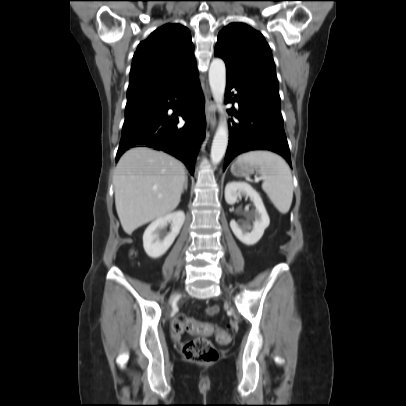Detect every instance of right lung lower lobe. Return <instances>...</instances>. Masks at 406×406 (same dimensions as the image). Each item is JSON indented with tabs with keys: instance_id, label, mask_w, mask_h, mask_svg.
Instances as JSON below:
<instances>
[{
	"instance_id": "98d812e1",
	"label": "right lung lower lobe",
	"mask_w": 406,
	"mask_h": 406,
	"mask_svg": "<svg viewBox=\"0 0 406 406\" xmlns=\"http://www.w3.org/2000/svg\"><path fill=\"white\" fill-rule=\"evenodd\" d=\"M156 100L159 105L154 118L122 130L116 158L130 148L145 146L181 160L193 175L196 155L206 128L198 75ZM170 108L174 110L173 114L168 113ZM178 115L186 120L185 125L177 126Z\"/></svg>"
}]
</instances>
